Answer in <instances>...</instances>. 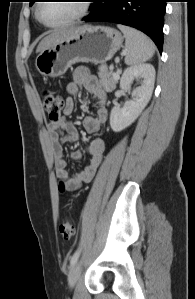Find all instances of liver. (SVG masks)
<instances>
[{"label":"liver","instance_id":"1","mask_svg":"<svg viewBox=\"0 0 195 299\" xmlns=\"http://www.w3.org/2000/svg\"><path fill=\"white\" fill-rule=\"evenodd\" d=\"M80 27H71V28H64V29H58L55 31H52L49 35L44 37L41 42L39 43L36 52L40 53L44 51L45 49L51 47L52 45L60 42L64 38L72 35L77 29Z\"/></svg>","mask_w":195,"mask_h":299}]
</instances>
